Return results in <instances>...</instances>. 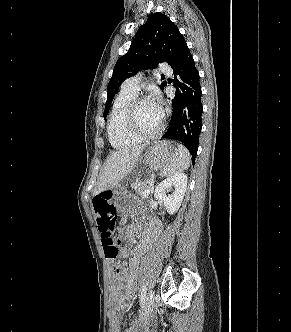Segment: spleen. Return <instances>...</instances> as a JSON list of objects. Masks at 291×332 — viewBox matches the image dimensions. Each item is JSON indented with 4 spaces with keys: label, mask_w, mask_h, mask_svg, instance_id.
Segmentation results:
<instances>
[{
    "label": "spleen",
    "mask_w": 291,
    "mask_h": 332,
    "mask_svg": "<svg viewBox=\"0 0 291 332\" xmlns=\"http://www.w3.org/2000/svg\"><path fill=\"white\" fill-rule=\"evenodd\" d=\"M191 156L189 151L182 144L177 145V153L175 158L170 160V162L164 166L160 176L168 177L177 173H180L190 166Z\"/></svg>",
    "instance_id": "1"
}]
</instances>
